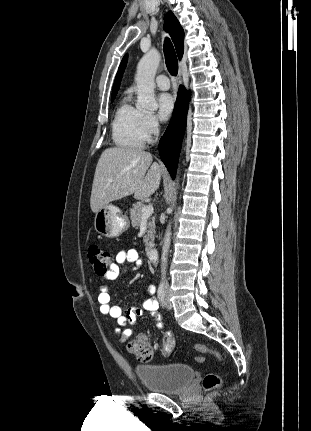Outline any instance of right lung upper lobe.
Segmentation results:
<instances>
[{"instance_id":"right-lung-upper-lobe-1","label":"right lung upper lobe","mask_w":311,"mask_h":431,"mask_svg":"<svg viewBox=\"0 0 311 431\" xmlns=\"http://www.w3.org/2000/svg\"><path fill=\"white\" fill-rule=\"evenodd\" d=\"M165 23L164 28L169 33V35L172 38V41L174 43V46L176 48V52L179 59H182L183 53H184V31L182 27L180 26L177 18L173 14L172 11H169L165 17H164ZM127 54L123 57L121 64L119 66L115 82L113 85L112 90V97H115L117 94V91L119 89L120 81L122 78V73L125 69V66L127 64Z\"/></svg>"}]
</instances>
